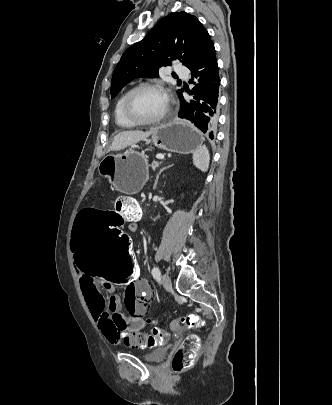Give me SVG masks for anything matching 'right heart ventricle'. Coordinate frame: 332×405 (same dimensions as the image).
I'll list each match as a JSON object with an SVG mask.
<instances>
[{
  "instance_id": "e07e8e85",
  "label": "right heart ventricle",
  "mask_w": 332,
  "mask_h": 405,
  "mask_svg": "<svg viewBox=\"0 0 332 405\" xmlns=\"http://www.w3.org/2000/svg\"><path fill=\"white\" fill-rule=\"evenodd\" d=\"M128 91H124L116 100L115 106H114V119L115 122L118 126L123 127V128H131L134 127L135 124L127 120L123 113H122V102L124 97Z\"/></svg>"
}]
</instances>
